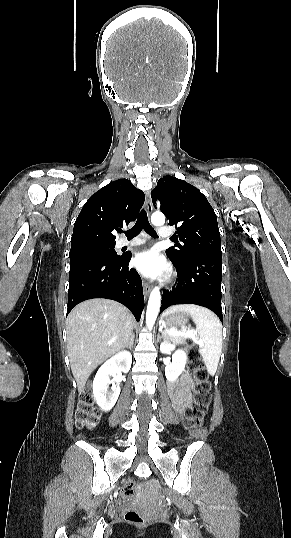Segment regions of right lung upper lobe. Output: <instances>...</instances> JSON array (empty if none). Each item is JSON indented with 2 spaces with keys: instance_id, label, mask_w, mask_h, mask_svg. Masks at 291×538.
Here are the masks:
<instances>
[{
  "instance_id": "obj_1",
  "label": "right lung upper lobe",
  "mask_w": 291,
  "mask_h": 538,
  "mask_svg": "<svg viewBox=\"0 0 291 538\" xmlns=\"http://www.w3.org/2000/svg\"><path fill=\"white\" fill-rule=\"evenodd\" d=\"M144 193L128 179L110 182L94 193L78 215L71 249L91 245H115L112 234L135 221L144 203Z\"/></svg>"
}]
</instances>
